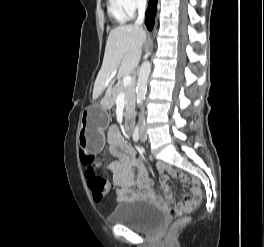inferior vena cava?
I'll use <instances>...</instances> for the list:
<instances>
[{
  "instance_id": "obj_1",
  "label": "inferior vena cava",
  "mask_w": 264,
  "mask_h": 247,
  "mask_svg": "<svg viewBox=\"0 0 264 247\" xmlns=\"http://www.w3.org/2000/svg\"><path fill=\"white\" fill-rule=\"evenodd\" d=\"M138 18L135 25L141 26L144 22L145 10H146V0H138ZM144 121L143 113L139 115V123L142 124Z\"/></svg>"
}]
</instances>
